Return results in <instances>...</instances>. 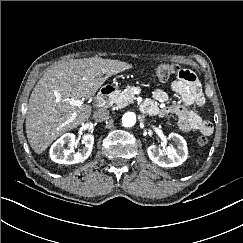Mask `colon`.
Instances as JSON below:
<instances>
[{
  "instance_id": "1",
  "label": "colon",
  "mask_w": 243,
  "mask_h": 243,
  "mask_svg": "<svg viewBox=\"0 0 243 243\" xmlns=\"http://www.w3.org/2000/svg\"><path fill=\"white\" fill-rule=\"evenodd\" d=\"M173 76L177 78H187L189 77V73L188 70L181 69L174 63L159 65L153 73V77L157 82L168 81ZM197 143L200 146H205L208 143V139L205 136H200L197 139Z\"/></svg>"
}]
</instances>
